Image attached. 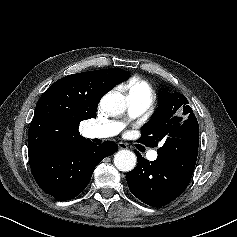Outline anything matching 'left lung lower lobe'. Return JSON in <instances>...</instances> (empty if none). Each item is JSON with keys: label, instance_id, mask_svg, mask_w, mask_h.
Segmentation results:
<instances>
[{"label": "left lung lower lobe", "instance_id": "obj_1", "mask_svg": "<svg viewBox=\"0 0 237 237\" xmlns=\"http://www.w3.org/2000/svg\"><path fill=\"white\" fill-rule=\"evenodd\" d=\"M199 141L177 154L158 153L149 162L138 151L136 168L126 174L130 192L142 202L164 206L176 199L188 186L197 160Z\"/></svg>", "mask_w": 237, "mask_h": 237}]
</instances>
